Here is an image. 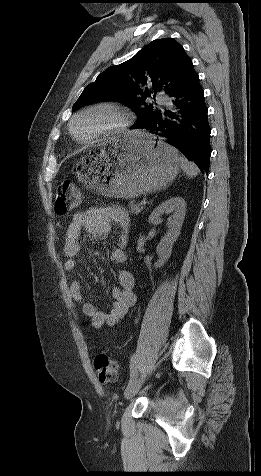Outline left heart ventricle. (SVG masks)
Returning a JSON list of instances; mask_svg holds the SVG:
<instances>
[{
    "instance_id": "b2bd125f",
    "label": "left heart ventricle",
    "mask_w": 261,
    "mask_h": 476,
    "mask_svg": "<svg viewBox=\"0 0 261 476\" xmlns=\"http://www.w3.org/2000/svg\"><path fill=\"white\" fill-rule=\"evenodd\" d=\"M115 121V116L109 111H97L80 117L73 126L74 133L79 139H87Z\"/></svg>"
}]
</instances>
